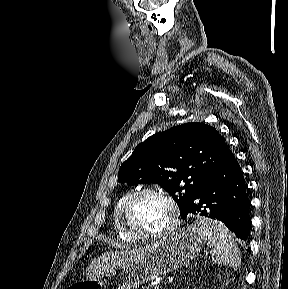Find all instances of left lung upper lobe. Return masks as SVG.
<instances>
[{"mask_svg": "<svg viewBox=\"0 0 288 289\" xmlns=\"http://www.w3.org/2000/svg\"><path fill=\"white\" fill-rule=\"evenodd\" d=\"M228 152L225 138L215 128L186 123L138 144L121 165L118 182L159 184L182 214Z\"/></svg>", "mask_w": 288, "mask_h": 289, "instance_id": "obj_1", "label": "left lung upper lobe"}]
</instances>
